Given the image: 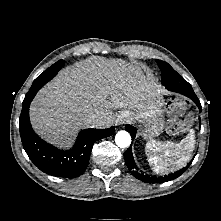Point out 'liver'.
Returning a JSON list of instances; mask_svg holds the SVG:
<instances>
[{"label":"liver","mask_w":221,"mask_h":221,"mask_svg":"<svg viewBox=\"0 0 221 221\" xmlns=\"http://www.w3.org/2000/svg\"><path fill=\"white\" fill-rule=\"evenodd\" d=\"M162 94L155 79L138 66L92 57L66 67L38 92L30 107V120L44 139L68 147L75 134L90 124L110 127L113 110H142ZM90 115H97L98 121L88 123Z\"/></svg>","instance_id":"1"}]
</instances>
